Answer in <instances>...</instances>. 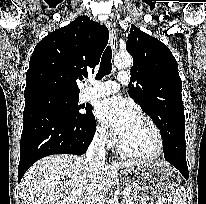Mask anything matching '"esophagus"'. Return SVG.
Instances as JSON below:
<instances>
[{"instance_id": "obj_1", "label": "esophagus", "mask_w": 206, "mask_h": 204, "mask_svg": "<svg viewBox=\"0 0 206 204\" xmlns=\"http://www.w3.org/2000/svg\"><path fill=\"white\" fill-rule=\"evenodd\" d=\"M105 25L110 32V42H111L112 50H113V52H116V50L118 48L116 31H115V29L110 21H106Z\"/></svg>"}]
</instances>
